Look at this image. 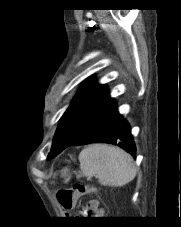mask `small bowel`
Masks as SVG:
<instances>
[{"label": "small bowel", "instance_id": "small-bowel-1", "mask_svg": "<svg viewBox=\"0 0 181 227\" xmlns=\"http://www.w3.org/2000/svg\"><path fill=\"white\" fill-rule=\"evenodd\" d=\"M89 212H93L96 216H103L104 211L100 208V203L98 200H91L85 206L81 208L79 213L81 215L88 214Z\"/></svg>", "mask_w": 181, "mask_h": 227}]
</instances>
